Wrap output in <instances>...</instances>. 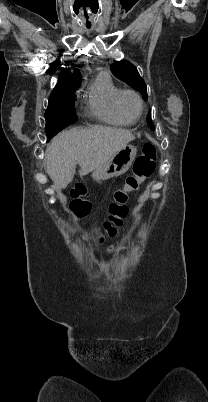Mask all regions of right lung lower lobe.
Returning a JSON list of instances; mask_svg holds the SVG:
<instances>
[{"label": "right lung lower lobe", "mask_w": 208, "mask_h": 402, "mask_svg": "<svg viewBox=\"0 0 208 402\" xmlns=\"http://www.w3.org/2000/svg\"><path fill=\"white\" fill-rule=\"evenodd\" d=\"M67 124H64L62 121H52L46 123V134H47V142L56 135L63 128L67 127Z\"/></svg>", "instance_id": "right-lung-lower-lobe-1"}]
</instances>
